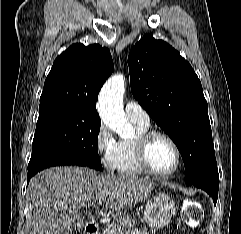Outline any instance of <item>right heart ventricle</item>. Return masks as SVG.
<instances>
[{"label": "right heart ventricle", "mask_w": 241, "mask_h": 234, "mask_svg": "<svg viewBox=\"0 0 241 234\" xmlns=\"http://www.w3.org/2000/svg\"><path fill=\"white\" fill-rule=\"evenodd\" d=\"M137 135L131 139H122L118 141L114 160V170L122 175L137 176L145 173L138 162L136 150V138L139 134L149 129L148 125L134 123Z\"/></svg>", "instance_id": "obj_1"}]
</instances>
